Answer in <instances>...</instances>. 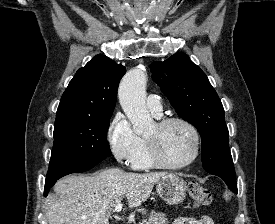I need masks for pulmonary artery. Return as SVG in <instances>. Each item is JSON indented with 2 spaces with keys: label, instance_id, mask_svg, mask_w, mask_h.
<instances>
[{
  "label": "pulmonary artery",
  "instance_id": "e3ab8cb5",
  "mask_svg": "<svg viewBox=\"0 0 275 224\" xmlns=\"http://www.w3.org/2000/svg\"><path fill=\"white\" fill-rule=\"evenodd\" d=\"M147 107L156 116H160L162 112V104L159 96L150 94L147 97Z\"/></svg>",
  "mask_w": 275,
  "mask_h": 224
}]
</instances>
